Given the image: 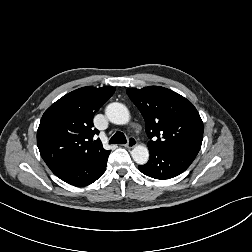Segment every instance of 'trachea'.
Returning <instances> with one entry per match:
<instances>
[{
    "instance_id": "3493384b",
    "label": "trachea",
    "mask_w": 252,
    "mask_h": 252,
    "mask_svg": "<svg viewBox=\"0 0 252 252\" xmlns=\"http://www.w3.org/2000/svg\"><path fill=\"white\" fill-rule=\"evenodd\" d=\"M127 142L125 135L118 131L109 140V144H125Z\"/></svg>"
}]
</instances>
